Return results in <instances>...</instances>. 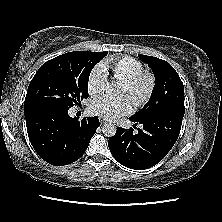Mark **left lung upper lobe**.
<instances>
[{
  "mask_svg": "<svg viewBox=\"0 0 222 222\" xmlns=\"http://www.w3.org/2000/svg\"><path fill=\"white\" fill-rule=\"evenodd\" d=\"M138 57L151 67L155 76V86L149 101L130 118L141 120L168 110L185 113L184 86L175 69L168 62L156 57L142 54Z\"/></svg>",
  "mask_w": 222,
  "mask_h": 222,
  "instance_id": "1",
  "label": "left lung upper lobe"
}]
</instances>
